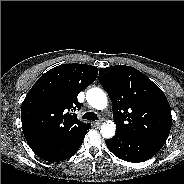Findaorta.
<instances>
[{"mask_svg":"<svg viewBox=\"0 0 184 184\" xmlns=\"http://www.w3.org/2000/svg\"><path fill=\"white\" fill-rule=\"evenodd\" d=\"M87 102L97 110H103L107 107L108 99L105 92L97 87L90 88L86 93ZM116 126L110 121L101 126V134L104 138H111L115 135Z\"/></svg>","mask_w":184,"mask_h":184,"instance_id":"1","label":"aorta"}]
</instances>
